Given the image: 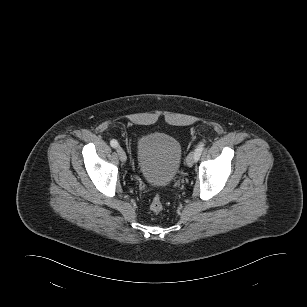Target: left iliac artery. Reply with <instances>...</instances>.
I'll use <instances>...</instances> for the list:
<instances>
[{"label":"left iliac artery","mask_w":307,"mask_h":307,"mask_svg":"<svg viewBox=\"0 0 307 307\" xmlns=\"http://www.w3.org/2000/svg\"><path fill=\"white\" fill-rule=\"evenodd\" d=\"M203 149H204L203 144L198 145V147L195 149V161H198Z\"/></svg>","instance_id":"obj_1"}]
</instances>
